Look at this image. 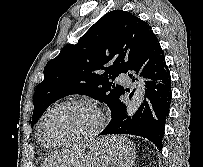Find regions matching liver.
I'll return each instance as SVG.
<instances>
[{
    "label": "liver",
    "mask_w": 203,
    "mask_h": 167,
    "mask_svg": "<svg viewBox=\"0 0 203 167\" xmlns=\"http://www.w3.org/2000/svg\"><path fill=\"white\" fill-rule=\"evenodd\" d=\"M111 143L113 147L117 148L123 145H128L129 140L125 137H105L100 139V143ZM82 158L81 153H74L72 151H65L53 154L48 157L42 164V167H72Z\"/></svg>",
    "instance_id": "liver-1"
}]
</instances>
